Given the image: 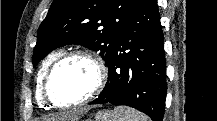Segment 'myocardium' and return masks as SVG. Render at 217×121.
<instances>
[{"label":"myocardium","instance_id":"myocardium-1","mask_svg":"<svg viewBox=\"0 0 217 121\" xmlns=\"http://www.w3.org/2000/svg\"><path fill=\"white\" fill-rule=\"evenodd\" d=\"M73 58H85L93 63L97 72V79L92 91L83 99L72 104H60L50 93V85L56 70L66 61ZM107 78V70L103 61L95 54L85 50H75L62 54L48 69L43 82V95L47 103L55 109H70L85 105L92 101L103 89Z\"/></svg>","mask_w":217,"mask_h":121}]
</instances>
